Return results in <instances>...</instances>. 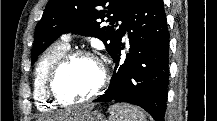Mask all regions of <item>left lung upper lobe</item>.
Instances as JSON below:
<instances>
[{
    "mask_svg": "<svg viewBox=\"0 0 217 121\" xmlns=\"http://www.w3.org/2000/svg\"><path fill=\"white\" fill-rule=\"evenodd\" d=\"M133 2L134 0H49L35 29L31 64L54 40L69 32L99 38L112 57L124 35L125 20ZM106 17L109 25L103 26ZM118 21H122V24L118 25Z\"/></svg>",
    "mask_w": 217,
    "mask_h": 121,
    "instance_id": "obj_1",
    "label": "left lung upper lobe"
}]
</instances>
